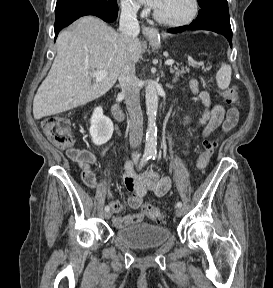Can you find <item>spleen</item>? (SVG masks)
<instances>
[{"label":"spleen","instance_id":"spleen-1","mask_svg":"<svg viewBox=\"0 0 273 288\" xmlns=\"http://www.w3.org/2000/svg\"><path fill=\"white\" fill-rule=\"evenodd\" d=\"M217 85L220 89L225 90L229 87L231 81V67L226 63H222L221 68L216 74Z\"/></svg>","mask_w":273,"mask_h":288}]
</instances>
